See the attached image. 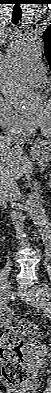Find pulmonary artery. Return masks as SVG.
<instances>
[{"label": "pulmonary artery", "instance_id": "1", "mask_svg": "<svg viewBox=\"0 0 51 393\" xmlns=\"http://www.w3.org/2000/svg\"><path fill=\"white\" fill-rule=\"evenodd\" d=\"M29 80L34 86L44 85L47 80L44 69L41 66L34 67L29 75Z\"/></svg>", "mask_w": 51, "mask_h": 393}]
</instances>
